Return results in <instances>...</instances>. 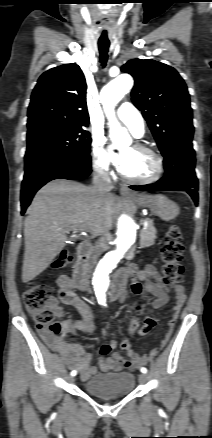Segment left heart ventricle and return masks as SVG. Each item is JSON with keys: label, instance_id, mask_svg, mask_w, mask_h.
Returning a JSON list of instances; mask_svg holds the SVG:
<instances>
[{"label": "left heart ventricle", "instance_id": "1", "mask_svg": "<svg viewBox=\"0 0 212 438\" xmlns=\"http://www.w3.org/2000/svg\"><path fill=\"white\" fill-rule=\"evenodd\" d=\"M122 154L127 157L126 164L121 170L126 176L133 179H145L154 174L155 160L149 153L134 147H126Z\"/></svg>", "mask_w": 212, "mask_h": 438}]
</instances>
